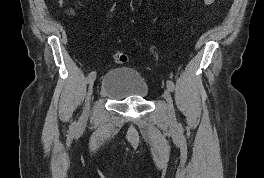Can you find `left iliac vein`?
I'll use <instances>...</instances> for the list:
<instances>
[{"label":"left iliac vein","mask_w":264,"mask_h":178,"mask_svg":"<svg viewBox=\"0 0 264 178\" xmlns=\"http://www.w3.org/2000/svg\"><path fill=\"white\" fill-rule=\"evenodd\" d=\"M164 98L167 102L169 120L171 122H174L175 121V113H174L173 101H172L171 94L168 90L164 91Z\"/></svg>","instance_id":"obj_1"}]
</instances>
